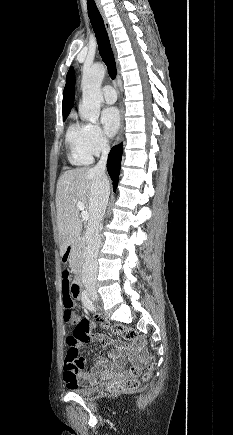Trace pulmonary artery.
<instances>
[{"instance_id": "1", "label": "pulmonary artery", "mask_w": 233, "mask_h": 435, "mask_svg": "<svg viewBox=\"0 0 233 435\" xmlns=\"http://www.w3.org/2000/svg\"><path fill=\"white\" fill-rule=\"evenodd\" d=\"M102 96L108 104H113L116 101V92L110 85L102 88Z\"/></svg>"}]
</instances>
